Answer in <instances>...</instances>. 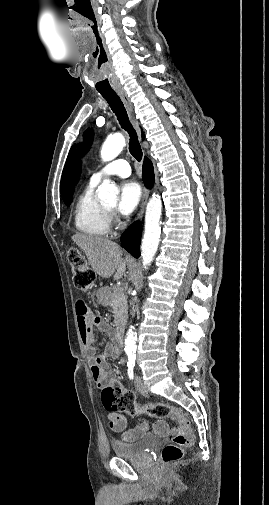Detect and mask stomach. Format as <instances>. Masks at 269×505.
<instances>
[{
	"label": "stomach",
	"mask_w": 269,
	"mask_h": 505,
	"mask_svg": "<svg viewBox=\"0 0 269 505\" xmlns=\"http://www.w3.org/2000/svg\"><path fill=\"white\" fill-rule=\"evenodd\" d=\"M107 292V288H102L98 292V298L101 304L106 305L107 304V299L105 297Z\"/></svg>",
	"instance_id": "obj_1"
}]
</instances>
